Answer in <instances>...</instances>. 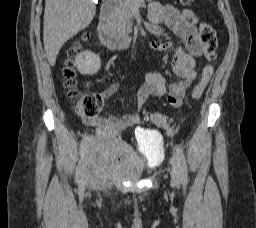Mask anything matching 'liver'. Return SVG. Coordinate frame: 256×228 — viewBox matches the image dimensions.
<instances>
[{"label": "liver", "instance_id": "liver-1", "mask_svg": "<svg viewBox=\"0 0 256 228\" xmlns=\"http://www.w3.org/2000/svg\"><path fill=\"white\" fill-rule=\"evenodd\" d=\"M95 13L94 0H45L43 42L51 66L65 42L85 29Z\"/></svg>", "mask_w": 256, "mask_h": 228}]
</instances>
